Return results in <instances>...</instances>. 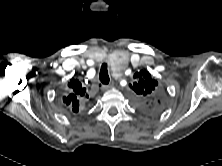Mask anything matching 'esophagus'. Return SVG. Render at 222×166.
Listing matches in <instances>:
<instances>
[{"mask_svg":"<svg viewBox=\"0 0 222 166\" xmlns=\"http://www.w3.org/2000/svg\"><path fill=\"white\" fill-rule=\"evenodd\" d=\"M113 86H114V83H111L109 85H102L101 89H102V91H105V90L112 88Z\"/></svg>","mask_w":222,"mask_h":166,"instance_id":"1","label":"esophagus"}]
</instances>
